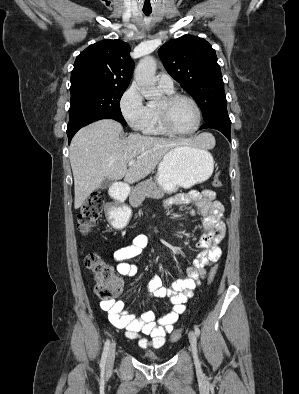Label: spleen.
I'll list each match as a JSON object with an SVG mask.
<instances>
[{
  "label": "spleen",
  "instance_id": "1",
  "mask_svg": "<svg viewBox=\"0 0 299 394\" xmlns=\"http://www.w3.org/2000/svg\"><path fill=\"white\" fill-rule=\"evenodd\" d=\"M207 136H208V139H207V145H206V147H207V148H211V147L214 146L215 140H214V138H213L212 135L207 134Z\"/></svg>",
  "mask_w": 299,
  "mask_h": 394
}]
</instances>
